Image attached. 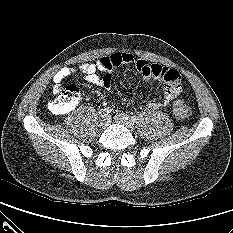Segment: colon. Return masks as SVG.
I'll list each match as a JSON object with an SVG mask.
<instances>
[{
	"label": "colon",
	"mask_w": 233,
	"mask_h": 233,
	"mask_svg": "<svg viewBox=\"0 0 233 233\" xmlns=\"http://www.w3.org/2000/svg\"><path fill=\"white\" fill-rule=\"evenodd\" d=\"M79 99V88L74 85H68L58 91V96L49 103V109L55 114H66L73 110ZM173 115L176 119H186L190 113V106L183 100H177L172 107Z\"/></svg>",
	"instance_id": "5ec220e1"
}]
</instances>
